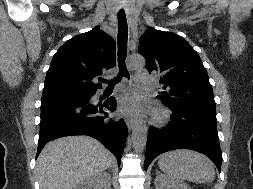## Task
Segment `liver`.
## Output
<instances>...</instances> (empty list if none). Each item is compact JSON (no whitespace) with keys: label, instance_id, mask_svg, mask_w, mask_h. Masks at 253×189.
I'll return each instance as SVG.
<instances>
[{"label":"liver","instance_id":"6515ba94","mask_svg":"<svg viewBox=\"0 0 253 189\" xmlns=\"http://www.w3.org/2000/svg\"><path fill=\"white\" fill-rule=\"evenodd\" d=\"M113 155L88 136H68L49 142L40 153L36 168L40 189H73L108 169Z\"/></svg>","mask_w":253,"mask_h":189}]
</instances>
